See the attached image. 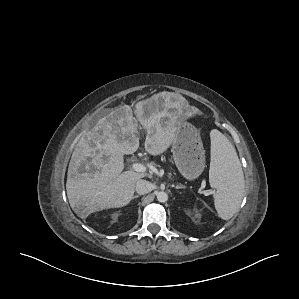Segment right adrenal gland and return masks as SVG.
<instances>
[{
	"mask_svg": "<svg viewBox=\"0 0 299 299\" xmlns=\"http://www.w3.org/2000/svg\"><path fill=\"white\" fill-rule=\"evenodd\" d=\"M140 197V195H134L133 196V199H135V198H139Z\"/></svg>",
	"mask_w": 299,
	"mask_h": 299,
	"instance_id": "obj_1",
	"label": "right adrenal gland"
}]
</instances>
